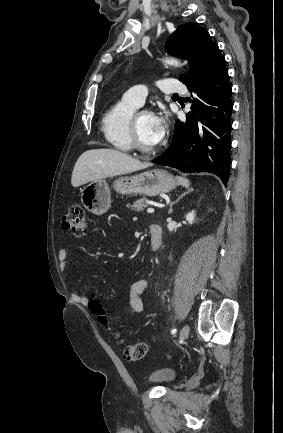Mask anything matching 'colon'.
I'll use <instances>...</instances> for the list:
<instances>
[{
	"mask_svg": "<svg viewBox=\"0 0 283 433\" xmlns=\"http://www.w3.org/2000/svg\"><path fill=\"white\" fill-rule=\"evenodd\" d=\"M62 228L72 232L77 237H82L86 234L87 219L85 210L81 204L74 203L69 207L67 214L62 218ZM88 306L104 327H111L110 320L97 301L89 300ZM147 351L148 346L145 342H136L127 345L124 348L123 355L129 361H139L146 356Z\"/></svg>",
	"mask_w": 283,
	"mask_h": 433,
	"instance_id": "5ec220e1",
	"label": "colon"
}]
</instances>
